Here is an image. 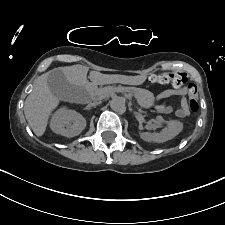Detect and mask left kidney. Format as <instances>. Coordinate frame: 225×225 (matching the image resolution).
I'll return each instance as SVG.
<instances>
[{"label": "left kidney", "mask_w": 225, "mask_h": 225, "mask_svg": "<svg viewBox=\"0 0 225 225\" xmlns=\"http://www.w3.org/2000/svg\"><path fill=\"white\" fill-rule=\"evenodd\" d=\"M157 122H164L162 116L156 117ZM167 127L162 130L160 133H149V132H141L140 138L147 142H156V143H163L168 140H171L175 136H177L181 130L183 129V124L180 121L172 120L167 121Z\"/></svg>", "instance_id": "obj_1"}]
</instances>
